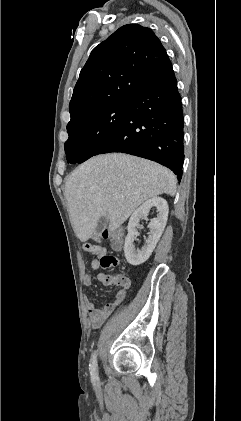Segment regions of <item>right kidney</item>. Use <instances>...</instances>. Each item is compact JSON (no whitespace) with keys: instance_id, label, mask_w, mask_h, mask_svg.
<instances>
[{"instance_id":"1","label":"right kidney","mask_w":241,"mask_h":421,"mask_svg":"<svg viewBox=\"0 0 241 421\" xmlns=\"http://www.w3.org/2000/svg\"><path fill=\"white\" fill-rule=\"evenodd\" d=\"M151 208H155L157 210V216L151 219L148 224L150 233L144 246L141 250H136L134 247V241L137 235L136 228L139 225L140 220L148 216ZM168 212V204L166 200L161 197H153L146 200L133 212L128 223V234L124 244V254L129 264L137 266L144 263L150 257L164 231L168 218Z\"/></svg>"}]
</instances>
